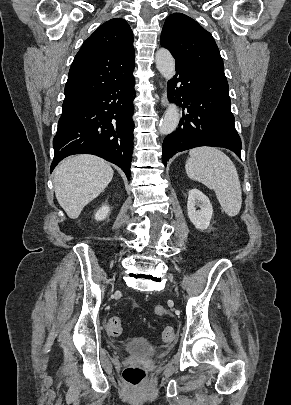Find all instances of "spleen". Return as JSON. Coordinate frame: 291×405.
Here are the masks:
<instances>
[{
	"label": "spleen",
	"mask_w": 291,
	"mask_h": 405,
	"mask_svg": "<svg viewBox=\"0 0 291 405\" xmlns=\"http://www.w3.org/2000/svg\"><path fill=\"white\" fill-rule=\"evenodd\" d=\"M189 154L185 165L189 178L213 189L223 211L228 216H236L241 209L242 190L231 159L211 147L195 148Z\"/></svg>",
	"instance_id": "3e777b00"
}]
</instances>
